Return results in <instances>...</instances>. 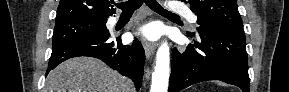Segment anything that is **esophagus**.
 I'll return each mask as SVG.
<instances>
[{
	"instance_id": "esophagus-1",
	"label": "esophagus",
	"mask_w": 289,
	"mask_h": 92,
	"mask_svg": "<svg viewBox=\"0 0 289 92\" xmlns=\"http://www.w3.org/2000/svg\"><path fill=\"white\" fill-rule=\"evenodd\" d=\"M143 48L145 50L146 58L149 60L156 50V43L149 42L145 39L142 40Z\"/></svg>"
}]
</instances>
